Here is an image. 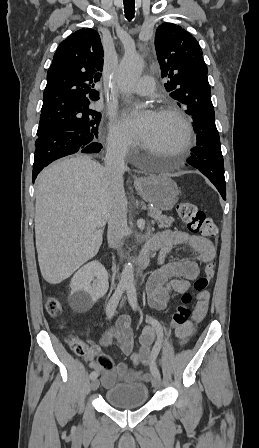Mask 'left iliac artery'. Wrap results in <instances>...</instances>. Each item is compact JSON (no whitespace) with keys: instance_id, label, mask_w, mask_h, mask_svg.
Segmentation results:
<instances>
[{"instance_id":"left-iliac-artery-1","label":"left iliac artery","mask_w":259,"mask_h":448,"mask_svg":"<svg viewBox=\"0 0 259 448\" xmlns=\"http://www.w3.org/2000/svg\"><path fill=\"white\" fill-rule=\"evenodd\" d=\"M126 291H127L128 301H129L131 307L134 310H137V308H138L137 294H136V288H135L134 283H128L126 286ZM147 322L153 326V328L155 329L156 334H157V341L155 342V345L153 346L152 353H151L152 357L154 359H156L160 352V349L162 347L163 328H162V325L156 319H153L151 317H147ZM152 374L154 377H160V372L157 368L152 372Z\"/></svg>"}]
</instances>
